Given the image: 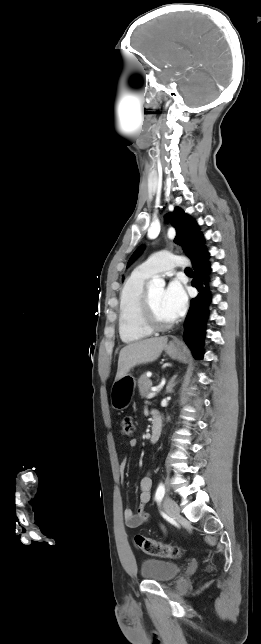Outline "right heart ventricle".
<instances>
[{
	"label": "right heart ventricle",
	"mask_w": 261,
	"mask_h": 644,
	"mask_svg": "<svg viewBox=\"0 0 261 644\" xmlns=\"http://www.w3.org/2000/svg\"><path fill=\"white\" fill-rule=\"evenodd\" d=\"M150 276L135 270L124 282L119 299L118 331L124 343H135L151 334L141 320V300Z\"/></svg>",
	"instance_id": "right-heart-ventricle-1"
}]
</instances>
